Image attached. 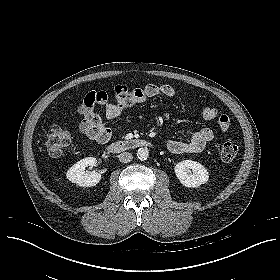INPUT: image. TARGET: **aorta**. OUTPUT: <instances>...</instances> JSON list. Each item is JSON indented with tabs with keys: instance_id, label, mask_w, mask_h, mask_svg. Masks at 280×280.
Masks as SVG:
<instances>
[{
	"instance_id": "aorta-1",
	"label": "aorta",
	"mask_w": 280,
	"mask_h": 280,
	"mask_svg": "<svg viewBox=\"0 0 280 280\" xmlns=\"http://www.w3.org/2000/svg\"><path fill=\"white\" fill-rule=\"evenodd\" d=\"M137 157L139 160L144 161L149 157V150L147 148H139L137 150Z\"/></svg>"
}]
</instances>
